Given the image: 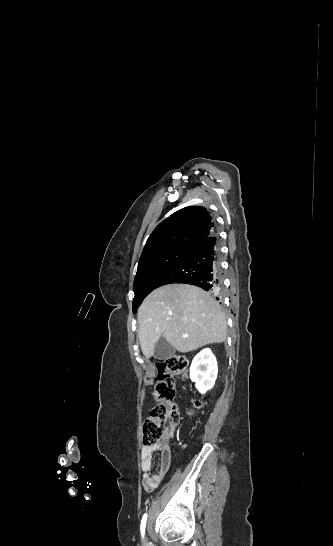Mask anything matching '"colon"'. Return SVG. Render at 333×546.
<instances>
[{
  "label": "colon",
  "instance_id": "obj_1",
  "mask_svg": "<svg viewBox=\"0 0 333 546\" xmlns=\"http://www.w3.org/2000/svg\"><path fill=\"white\" fill-rule=\"evenodd\" d=\"M189 361L182 355L170 356L156 364L155 398L157 404L143 425V442L154 445L166 442L171 436L180 416L174 403L175 376L186 377ZM196 407H201L202 402L196 401Z\"/></svg>",
  "mask_w": 333,
  "mask_h": 546
}]
</instances>
